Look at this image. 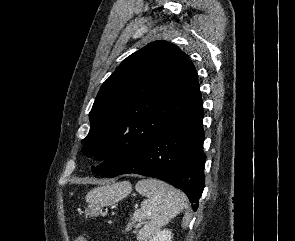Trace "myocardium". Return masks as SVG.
<instances>
[{"label": "myocardium", "instance_id": "f54148a6", "mask_svg": "<svg viewBox=\"0 0 295 241\" xmlns=\"http://www.w3.org/2000/svg\"><path fill=\"white\" fill-rule=\"evenodd\" d=\"M104 147L103 146H97L93 151L94 157H100L104 153Z\"/></svg>", "mask_w": 295, "mask_h": 241}]
</instances>
